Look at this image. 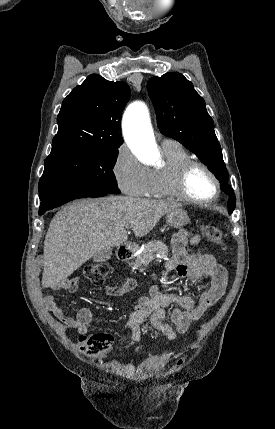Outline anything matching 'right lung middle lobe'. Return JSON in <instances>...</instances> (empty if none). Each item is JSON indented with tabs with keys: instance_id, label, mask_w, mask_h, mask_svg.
<instances>
[{
	"instance_id": "dd1d6c3e",
	"label": "right lung middle lobe",
	"mask_w": 275,
	"mask_h": 429,
	"mask_svg": "<svg viewBox=\"0 0 275 429\" xmlns=\"http://www.w3.org/2000/svg\"><path fill=\"white\" fill-rule=\"evenodd\" d=\"M117 148H68L51 151L39 181L40 200L71 190L120 193L112 171Z\"/></svg>"
}]
</instances>
